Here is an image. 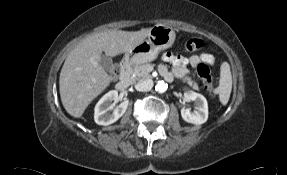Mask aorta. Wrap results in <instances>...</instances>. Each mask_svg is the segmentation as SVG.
<instances>
[{
    "instance_id": "obj_1",
    "label": "aorta",
    "mask_w": 287,
    "mask_h": 175,
    "mask_svg": "<svg viewBox=\"0 0 287 175\" xmlns=\"http://www.w3.org/2000/svg\"><path fill=\"white\" fill-rule=\"evenodd\" d=\"M168 88V85L164 81H159L156 86L155 90L159 93H164Z\"/></svg>"
}]
</instances>
